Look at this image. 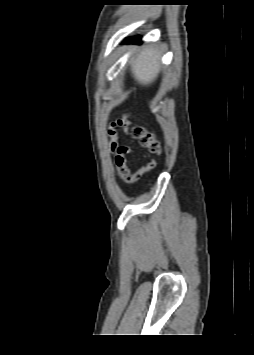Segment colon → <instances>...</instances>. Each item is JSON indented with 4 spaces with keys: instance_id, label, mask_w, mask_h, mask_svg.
<instances>
[{
    "instance_id": "colon-1",
    "label": "colon",
    "mask_w": 254,
    "mask_h": 355,
    "mask_svg": "<svg viewBox=\"0 0 254 355\" xmlns=\"http://www.w3.org/2000/svg\"><path fill=\"white\" fill-rule=\"evenodd\" d=\"M130 134L131 137L137 140L148 152L153 154L160 152V145L154 134L149 130L141 126H134L131 128Z\"/></svg>"
}]
</instances>
